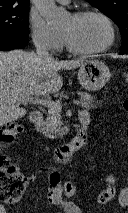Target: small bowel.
Instances as JSON below:
<instances>
[{
	"label": "small bowel",
	"mask_w": 128,
	"mask_h": 213,
	"mask_svg": "<svg viewBox=\"0 0 128 213\" xmlns=\"http://www.w3.org/2000/svg\"><path fill=\"white\" fill-rule=\"evenodd\" d=\"M80 117L90 120L87 111H81ZM48 180L47 199L51 205L58 206L60 210L56 213H81V210L72 202L63 199V189L61 185V176L55 169L45 170ZM33 175L28 177V181H32ZM0 213H8L5 206L0 203Z\"/></svg>",
	"instance_id": "obj_1"
}]
</instances>
